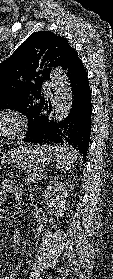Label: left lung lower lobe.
Masks as SVG:
<instances>
[{
  "mask_svg": "<svg viewBox=\"0 0 113 279\" xmlns=\"http://www.w3.org/2000/svg\"><path fill=\"white\" fill-rule=\"evenodd\" d=\"M70 80L73 100L70 113L63 121L54 120L51 101L44 99L36 109L33 124L24 142L65 144L75 148L86 159L91 132V91L87 73L76 51H72L61 66Z\"/></svg>",
  "mask_w": 113,
  "mask_h": 279,
  "instance_id": "obj_1",
  "label": "left lung lower lobe"
}]
</instances>
